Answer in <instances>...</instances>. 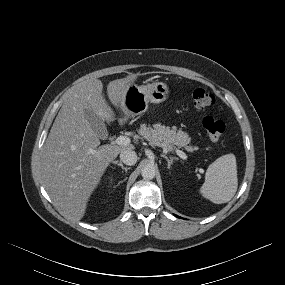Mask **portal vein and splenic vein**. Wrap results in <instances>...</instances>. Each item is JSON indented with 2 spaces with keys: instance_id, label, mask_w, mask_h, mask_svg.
Listing matches in <instances>:
<instances>
[{
  "instance_id": "18ae733b",
  "label": "portal vein and splenic vein",
  "mask_w": 285,
  "mask_h": 285,
  "mask_svg": "<svg viewBox=\"0 0 285 285\" xmlns=\"http://www.w3.org/2000/svg\"><path fill=\"white\" fill-rule=\"evenodd\" d=\"M115 143L118 145H128V144H130V138L127 136H119L116 138ZM176 153L183 160L187 159V155L184 152H182L181 150L177 149Z\"/></svg>"
}]
</instances>
